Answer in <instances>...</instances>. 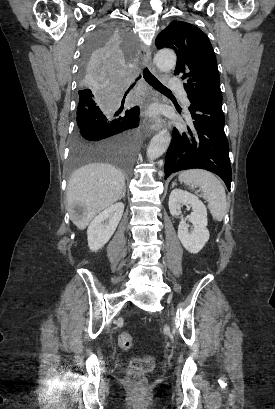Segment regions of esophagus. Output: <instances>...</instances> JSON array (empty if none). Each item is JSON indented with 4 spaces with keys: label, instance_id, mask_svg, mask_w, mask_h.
<instances>
[{
    "label": "esophagus",
    "instance_id": "1",
    "mask_svg": "<svg viewBox=\"0 0 275 409\" xmlns=\"http://www.w3.org/2000/svg\"><path fill=\"white\" fill-rule=\"evenodd\" d=\"M139 55L143 63H150L151 61V50L148 46L142 45L139 49ZM165 125V122L162 117H157L155 123L151 125V129L155 131L161 130Z\"/></svg>",
    "mask_w": 275,
    "mask_h": 409
}]
</instances>
